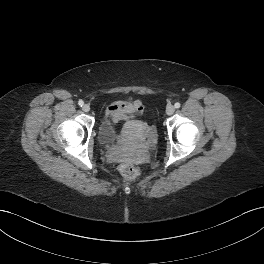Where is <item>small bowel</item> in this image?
<instances>
[{
	"mask_svg": "<svg viewBox=\"0 0 264 264\" xmlns=\"http://www.w3.org/2000/svg\"><path fill=\"white\" fill-rule=\"evenodd\" d=\"M144 110V105L141 101H124L119 100L111 103L106 108V116L110 118L113 122L119 120L132 119L137 115H141Z\"/></svg>",
	"mask_w": 264,
	"mask_h": 264,
	"instance_id": "1",
	"label": "small bowel"
}]
</instances>
